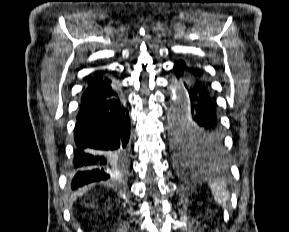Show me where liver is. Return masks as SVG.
I'll return each instance as SVG.
<instances>
[{
  "label": "liver",
  "instance_id": "liver-1",
  "mask_svg": "<svg viewBox=\"0 0 289 232\" xmlns=\"http://www.w3.org/2000/svg\"><path fill=\"white\" fill-rule=\"evenodd\" d=\"M88 189H90V186H85V187L81 188L80 190H78V192L76 194L80 196L83 193H85Z\"/></svg>",
  "mask_w": 289,
  "mask_h": 232
}]
</instances>
